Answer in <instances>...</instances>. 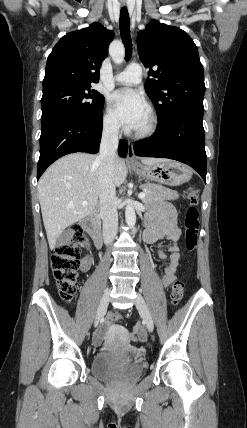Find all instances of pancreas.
<instances>
[{"instance_id": "pancreas-1", "label": "pancreas", "mask_w": 247, "mask_h": 428, "mask_svg": "<svg viewBox=\"0 0 247 428\" xmlns=\"http://www.w3.org/2000/svg\"><path fill=\"white\" fill-rule=\"evenodd\" d=\"M141 189L146 193V196L142 199L145 205L151 202H163L165 200H175L179 197L178 193L174 190L165 188L161 185L156 184H142Z\"/></svg>"}]
</instances>
